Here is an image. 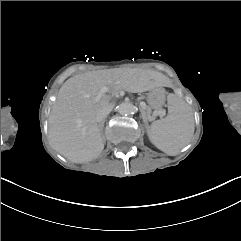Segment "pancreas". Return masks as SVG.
I'll list each match as a JSON object with an SVG mask.
<instances>
[{
  "mask_svg": "<svg viewBox=\"0 0 241 241\" xmlns=\"http://www.w3.org/2000/svg\"><path fill=\"white\" fill-rule=\"evenodd\" d=\"M146 112H147V115H150V113H151V109H150V107H147Z\"/></svg>",
  "mask_w": 241,
  "mask_h": 241,
  "instance_id": "pancreas-1",
  "label": "pancreas"
}]
</instances>
